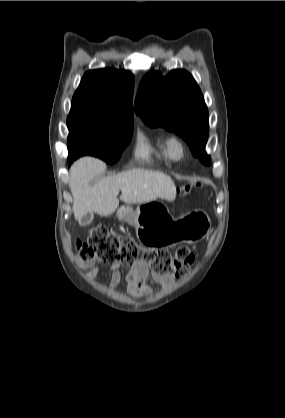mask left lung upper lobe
Listing matches in <instances>:
<instances>
[{
    "mask_svg": "<svg viewBox=\"0 0 285 418\" xmlns=\"http://www.w3.org/2000/svg\"><path fill=\"white\" fill-rule=\"evenodd\" d=\"M135 112L150 127H164L181 136L192 154L205 165L209 132L208 109L197 83L185 70H172L165 77L150 72L142 79L134 105Z\"/></svg>",
    "mask_w": 285,
    "mask_h": 418,
    "instance_id": "left-lung-upper-lobe-1",
    "label": "left lung upper lobe"
}]
</instances>
